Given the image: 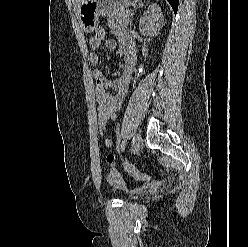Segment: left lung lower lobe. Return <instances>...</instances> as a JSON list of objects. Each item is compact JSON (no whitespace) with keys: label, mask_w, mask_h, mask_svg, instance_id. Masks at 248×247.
Returning <instances> with one entry per match:
<instances>
[{"label":"left lung lower lobe","mask_w":248,"mask_h":247,"mask_svg":"<svg viewBox=\"0 0 248 247\" xmlns=\"http://www.w3.org/2000/svg\"><path fill=\"white\" fill-rule=\"evenodd\" d=\"M172 6L174 13H177L179 0H167Z\"/></svg>","instance_id":"1"}]
</instances>
